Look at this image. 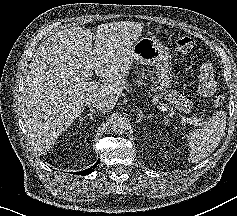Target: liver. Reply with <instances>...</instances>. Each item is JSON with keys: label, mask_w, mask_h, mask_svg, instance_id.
Returning a JSON list of instances; mask_svg holds the SVG:
<instances>
[{"label": "liver", "mask_w": 237, "mask_h": 216, "mask_svg": "<svg viewBox=\"0 0 237 216\" xmlns=\"http://www.w3.org/2000/svg\"><path fill=\"white\" fill-rule=\"evenodd\" d=\"M29 69L22 78L20 109L28 137L45 148L80 116L90 98L103 92L116 102L130 68L123 65L114 40L105 43L91 29L72 26L47 38ZM94 74L100 80L86 82Z\"/></svg>", "instance_id": "6515ba94"}]
</instances>
